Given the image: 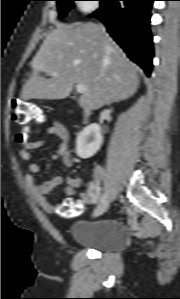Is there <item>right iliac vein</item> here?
<instances>
[{
    "label": "right iliac vein",
    "mask_w": 180,
    "mask_h": 299,
    "mask_svg": "<svg viewBox=\"0 0 180 299\" xmlns=\"http://www.w3.org/2000/svg\"><path fill=\"white\" fill-rule=\"evenodd\" d=\"M108 207H109V201L106 199L104 202H102L97 206V208L93 212V216L94 217L101 216L107 211Z\"/></svg>",
    "instance_id": "1"
}]
</instances>
